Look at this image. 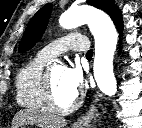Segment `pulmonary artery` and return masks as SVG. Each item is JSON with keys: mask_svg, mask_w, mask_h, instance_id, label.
Returning a JSON list of instances; mask_svg holds the SVG:
<instances>
[{"mask_svg": "<svg viewBox=\"0 0 142 128\" xmlns=\"http://www.w3.org/2000/svg\"><path fill=\"white\" fill-rule=\"evenodd\" d=\"M69 50L87 52L88 39L84 35L70 33L46 45L40 53L47 58H53Z\"/></svg>", "mask_w": 142, "mask_h": 128, "instance_id": "obj_1", "label": "pulmonary artery"}]
</instances>
